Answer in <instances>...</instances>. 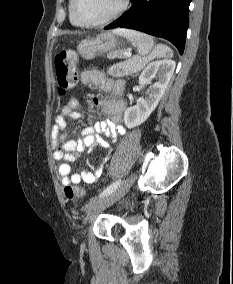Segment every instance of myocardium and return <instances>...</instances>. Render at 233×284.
Instances as JSON below:
<instances>
[{
  "label": "myocardium",
  "instance_id": "myocardium-1",
  "mask_svg": "<svg viewBox=\"0 0 233 284\" xmlns=\"http://www.w3.org/2000/svg\"><path fill=\"white\" fill-rule=\"evenodd\" d=\"M78 2L79 0H73V3H72V13H73L74 18L82 26L96 27V26L107 24L115 20L116 18H118L126 10L129 0H121L119 7L113 13H111L109 16L105 17L104 19L93 21V22L86 21L80 17L78 13Z\"/></svg>",
  "mask_w": 233,
  "mask_h": 284
}]
</instances>
